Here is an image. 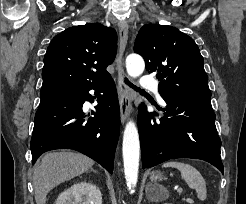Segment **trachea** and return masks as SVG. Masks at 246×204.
<instances>
[{
  "label": "trachea",
  "instance_id": "3493384b",
  "mask_svg": "<svg viewBox=\"0 0 246 204\" xmlns=\"http://www.w3.org/2000/svg\"><path fill=\"white\" fill-rule=\"evenodd\" d=\"M125 83L129 85L131 88H133L135 91L140 92V93H145L144 90H141L137 86L133 85L128 79H125Z\"/></svg>",
  "mask_w": 246,
  "mask_h": 204
}]
</instances>
